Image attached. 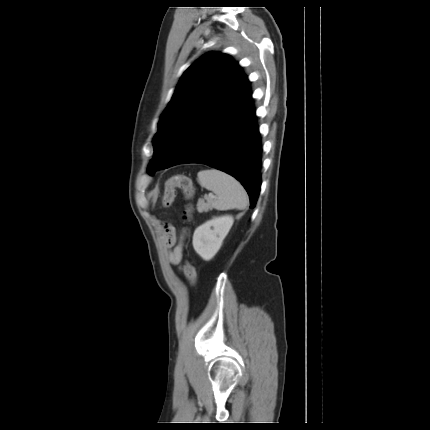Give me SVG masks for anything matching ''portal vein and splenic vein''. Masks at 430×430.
I'll list each match as a JSON object with an SVG mask.
<instances>
[{"label":"portal vein and splenic vein","mask_w":430,"mask_h":430,"mask_svg":"<svg viewBox=\"0 0 430 430\" xmlns=\"http://www.w3.org/2000/svg\"><path fill=\"white\" fill-rule=\"evenodd\" d=\"M208 197H211V198H213V197H215L212 193H209L208 194Z\"/></svg>","instance_id":"18ae733b"}]
</instances>
